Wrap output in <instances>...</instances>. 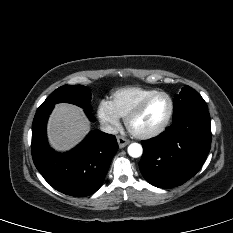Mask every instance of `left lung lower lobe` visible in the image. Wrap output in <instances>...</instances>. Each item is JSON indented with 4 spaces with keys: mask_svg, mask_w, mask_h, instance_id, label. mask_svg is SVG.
I'll list each match as a JSON object with an SVG mask.
<instances>
[{
    "mask_svg": "<svg viewBox=\"0 0 233 233\" xmlns=\"http://www.w3.org/2000/svg\"><path fill=\"white\" fill-rule=\"evenodd\" d=\"M211 136L208 108H192L173 117L165 132L142 142V175L159 188L185 183L202 167L210 151Z\"/></svg>",
    "mask_w": 233,
    "mask_h": 233,
    "instance_id": "obj_1",
    "label": "left lung lower lobe"
}]
</instances>
